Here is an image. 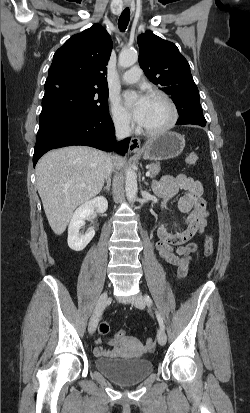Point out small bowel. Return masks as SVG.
I'll use <instances>...</instances> for the list:
<instances>
[{
	"mask_svg": "<svg viewBox=\"0 0 250 413\" xmlns=\"http://www.w3.org/2000/svg\"><path fill=\"white\" fill-rule=\"evenodd\" d=\"M180 190L185 193L179 199L178 207L181 212L187 213V227L182 232L170 233L164 225H160L157 229L156 249L164 261L177 267L178 277L183 278L189 272L193 254L198 251L197 244L191 240L197 234H202L208 226L206 204L201 197L203 188L200 181L183 173L167 175L153 183V192L162 200V205ZM100 343L101 340H98L94 349V354L99 357L123 355L126 353L125 347L133 350L137 356L145 353V347L137 337H127L118 342L112 339L111 349H104Z\"/></svg>",
	"mask_w": 250,
	"mask_h": 413,
	"instance_id": "small-bowel-1",
	"label": "small bowel"
}]
</instances>
